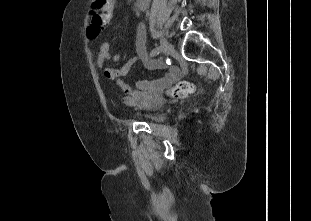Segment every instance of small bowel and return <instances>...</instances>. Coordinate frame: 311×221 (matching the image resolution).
<instances>
[{
  "label": "small bowel",
  "mask_w": 311,
  "mask_h": 221,
  "mask_svg": "<svg viewBox=\"0 0 311 221\" xmlns=\"http://www.w3.org/2000/svg\"><path fill=\"white\" fill-rule=\"evenodd\" d=\"M146 32L143 26H139L136 36V51L138 56L128 60L122 67L113 68L106 65L107 61L118 63L121 59L119 52L114 53H97L96 65L102 71L103 76L110 81H116L122 89V102L124 105L133 107L145 105L156 99L165 82L163 79H147L137 81L133 87L122 82V79L127 76L131 68L139 61L146 58L145 50ZM100 46H110L108 41L103 42Z\"/></svg>",
  "instance_id": "c3829d8e"
}]
</instances>
